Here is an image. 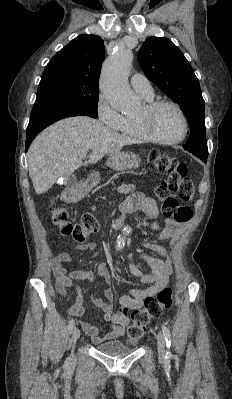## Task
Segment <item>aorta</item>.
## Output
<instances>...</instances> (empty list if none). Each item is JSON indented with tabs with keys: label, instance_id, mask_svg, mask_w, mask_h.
<instances>
[{
	"label": "aorta",
	"instance_id": "762f6f07",
	"mask_svg": "<svg viewBox=\"0 0 232 399\" xmlns=\"http://www.w3.org/2000/svg\"><path fill=\"white\" fill-rule=\"evenodd\" d=\"M133 61V53L126 48H118L102 67L100 89L110 105L119 111H134L140 105L138 98L128 84V75ZM124 232H129L128 227ZM124 239L118 238L116 249L121 250Z\"/></svg>",
	"mask_w": 232,
	"mask_h": 399
}]
</instances>
